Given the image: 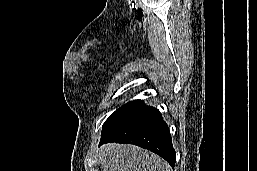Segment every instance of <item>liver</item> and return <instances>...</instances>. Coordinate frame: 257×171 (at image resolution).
Masks as SVG:
<instances>
[{"label":"liver","mask_w":257,"mask_h":171,"mask_svg":"<svg viewBox=\"0 0 257 171\" xmlns=\"http://www.w3.org/2000/svg\"><path fill=\"white\" fill-rule=\"evenodd\" d=\"M99 162L102 171H172L158 155L129 144L104 145Z\"/></svg>","instance_id":"liver-1"}]
</instances>
